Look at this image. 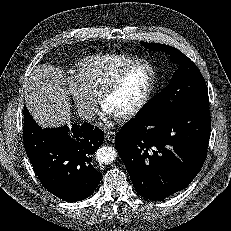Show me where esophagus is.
Segmentation results:
<instances>
[{"label": "esophagus", "mask_w": 231, "mask_h": 231, "mask_svg": "<svg viewBox=\"0 0 231 231\" xmlns=\"http://www.w3.org/2000/svg\"><path fill=\"white\" fill-rule=\"evenodd\" d=\"M115 138V132L111 130H106L105 131V139L107 141H113Z\"/></svg>", "instance_id": "obj_1"}]
</instances>
